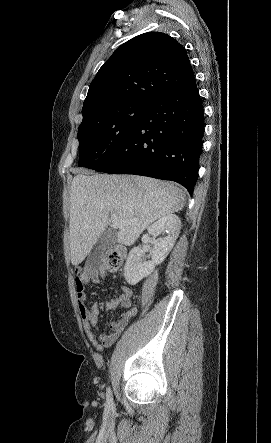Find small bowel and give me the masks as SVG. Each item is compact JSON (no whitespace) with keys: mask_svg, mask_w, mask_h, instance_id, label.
Masks as SVG:
<instances>
[{"mask_svg":"<svg viewBox=\"0 0 271 443\" xmlns=\"http://www.w3.org/2000/svg\"><path fill=\"white\" fill-rule=\"evenodd\" d=\"M74 276L77 304L84 331L97 350L107 348L116 341L129 321L137 314V308L133 307L131 302L132 290L122 285L121 294L118 297L105 300L104 305L107 310L120 307L122 312L116 321L111 322V334L101 333L96 337L94 330L98 324L99 307L97 303H93L90 307L86 305L85 285L90 282L103 284L107 272L104 268L88 267L82 271L76 269Z\"/></svg>","mask_w":271,"mask_h":443,"instance_id":"obj_1","label":"small bowel"}]
</instances>
